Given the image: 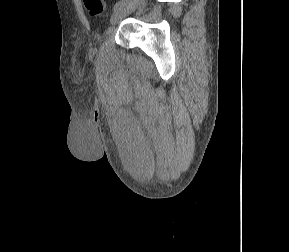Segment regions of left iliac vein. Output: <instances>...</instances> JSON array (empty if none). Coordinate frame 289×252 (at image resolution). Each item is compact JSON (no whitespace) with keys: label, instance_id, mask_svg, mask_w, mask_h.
<instances>
[{"label":"left iliac vein","instance_id":"1","mask_svg":"<svg viewBox=\"0 0 289 252\" xmlns=\"http://www.w3.org/2000/svg\"><path fill=\"white\" fill-rule=\"evenodd\" d=\"M141 2L142 0H128L124 6L114 11L110 19L111 25L114 26L118 24L127 15L134 12L138 8V6L141 4Z\"/></svg>","mask_w":289,"mask_h":252}]
</instances>
